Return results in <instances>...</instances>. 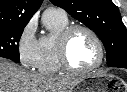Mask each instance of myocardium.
I'll list each match as a JSON object with an SVG mask.
<instances>
[{"label":"myocardium","mask_w":127,"mask_h":92,"mask_svg":"<svg viewBox=\"0 0 127 92\" xmlns=\"http://www.w3.org/2000/svg\"><path fill=\"white\" fill-rule=\"evenodd\" d=\"M78 31L88 33L94 40L98 48V60L96 63L88 68L78 69L73 66L69 58V45L73 35ZM58 56L63 69L74 74H86L98 69L104 62L105 49L103 42L99 35L89 26L82 24L69 25L60 35L58 40Z\"/></svg>","instance_id":"f54148a6"}]
</instances>
